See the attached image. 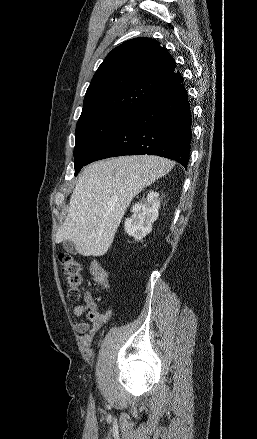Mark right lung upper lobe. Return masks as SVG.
Wrapping results in <instances>:
<instances>
[{"label": "right lung upper lobe", "mask_w": 257, "mask_h": 439, "mask_svg": "<svg viewBox=\"0 0 257 439\" xmlns=\"http://www.w3.org/2000/svg\"><path fill=\"white\" fill-rule=\"evenodd\" d=\"M173 57L160 43L139 37L113 49L94 74L81 116L96 113L132 115L182 83Z\"/></svg>", "instance_id": "1"}]
</instances>
